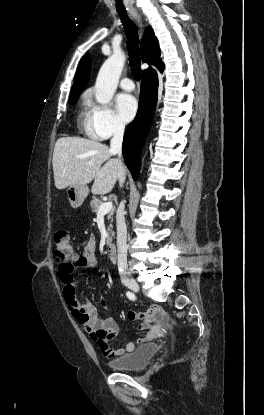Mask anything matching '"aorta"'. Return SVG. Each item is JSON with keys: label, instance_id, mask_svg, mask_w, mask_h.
Returning a JSON list of instances; mask_svg holds the SVG:
<instances>
[{"label": "aorta", "instance_id": "obj_1", "mask_svg": "<svg viewBox=\"0 0 264 415\" xmlns=\"http://www.w3.org/2000/svg\"><path fill=\"white\" fill-rule=\"evenodd\" d=\"M125 63V55L115 51L103 63L95 83V97L97 102L107 104L111 101Z\"/></svg>", "mask_w": 264, "mask_h": 415}]
</instances>
